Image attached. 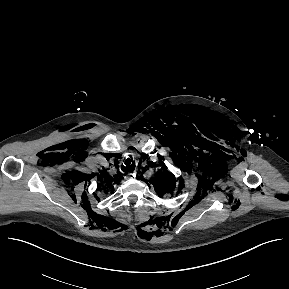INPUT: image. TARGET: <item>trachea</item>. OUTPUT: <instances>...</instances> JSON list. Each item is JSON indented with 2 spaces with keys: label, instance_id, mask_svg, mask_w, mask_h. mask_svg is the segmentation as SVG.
Here are the masks:
<instances>
[{
  "label": "trachea",
  "instance_id": "obj_1",
  "mask_svg": "<svg viewBox=\"0 0 289 289\" xmlns=\"http://www.w3.org/2000/svg\"><path fill=\"white\" fill-rule=\"evenodd\" d=\"M125 167L123 166V171L124 172H126V173H128V172H130V173H132L133 171H134V169H135V164H134V162H132L131 163V159H127L126 161H125Z\"/></svg>",
  "mask_w": 289,
  "mask_h": 289
}]
</instances>
